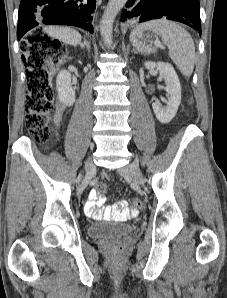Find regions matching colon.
Instances as JSON below:
<instances>
[{
	"mask_svg": "<svg viewBox=\"0 0 227 298\" xmlns=\"http://www.w3.org/2000/svg\"><path fill=\"white\" fill-rule=\"evenodd\" d=\"M33 47L25 50L27 69V100L25 124L31 136L40 144L50 138V118L53 111L54 90L45 68L52 41L44 34L37 33L32 37ZM98 191L106 189L105 183H99ZM136 207H143V202H135ZM122 246H115L113 252L119 254Z\"/></svg>",
	"mask_w": 227,
	"mask_h": 298,
	"instance_id": "1",
	"label": "colon"
}]
</instances>
